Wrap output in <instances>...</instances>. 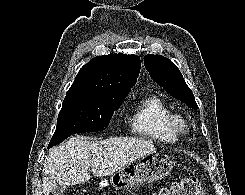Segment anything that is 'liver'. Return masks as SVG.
<instances>
[{"label":"liver","mask_w":245,"mask_h":195,"mask_svg":"<svg viewBox=\"0 0 245 195\" xmlns=\"http://www.w3.org/2000/svg\"><path fill=\"white\" fill-rule=\"evenodd\" d=\"M156 152L154 144L142 138L110 137L101 141L71 137L54 148L43 168V192L59 185H76L88 181V169L97 177L109 176L146 154Z\"/></svg>","instance_id":"obj_1"}]
</instances>
